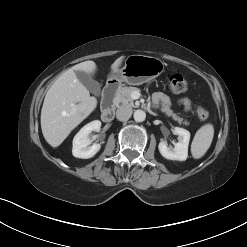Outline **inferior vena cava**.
<instances>
[{"label":"inferior vena cava","mask_w":247,"mask_h":247,"mask_svg":"<svg viewBox=\"0 0 247 247\" xmlns=\"http://www.w3.org/2000/svg\"><path fill=\"white\" fill-rule=\"evenodd\" d=\"M132 108L127 105L119 107L116 111V118L119 121H127L132 115Z\"/></svg>","instance_id":"602c4592"}]
</instances>
